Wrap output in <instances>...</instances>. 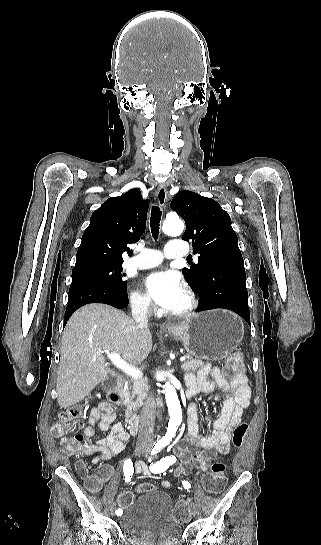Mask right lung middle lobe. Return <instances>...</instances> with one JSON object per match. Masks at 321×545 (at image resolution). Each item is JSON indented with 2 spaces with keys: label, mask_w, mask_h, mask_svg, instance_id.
I'll return each mask as SVG.
<instances>
[{
  "label": "right lung middle lobe",
  "mask_w": 321,
  "mask_h": 545,
  "mask_svg": "<svg viewBox=\"0 0 321 545\" xmlns=\"http://www.w3.org/2000/svg\"><path fill=\"white\" fill-rule=\"evenodd\" d=\"M122 264H99L73 269V280H95L110 284L120 289H126L127 281L122 279Z\"/></svg>",
  "instance_id": "obj_1"
}]
</instances>
